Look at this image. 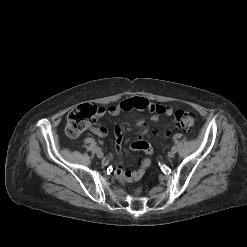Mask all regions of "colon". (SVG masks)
I'll return each mask as SVG.
<instances>
[{"label": "colon", "instance_id": "5ec220e1", "mask_svg": "<svg viewBox=\"0 0 247 247\" xmlns=\"http://www.w3.org/2000/svg\"><path fill=\"white\" fill-rule=\"evenodd\" d=\"M98 108L94 105L84 104L74 108L67 116L66 134L77 137L86 130L95 120ZM195 115L189 111L178 110L174 116V128L188 132L195 126Z\"/></svg>", "mask_w": 247, "mask_h": 247}]
</instances>
